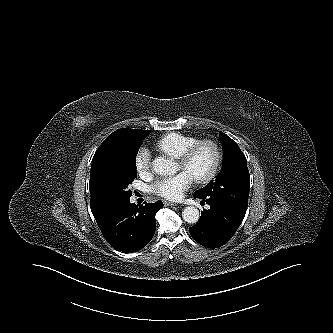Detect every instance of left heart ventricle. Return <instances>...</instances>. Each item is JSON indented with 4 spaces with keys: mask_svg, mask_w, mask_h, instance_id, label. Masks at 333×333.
<instances>
[{
    "mask_svg": "<svg viewBox=\"0 0 333 333\" xmlns=\"http://www.w3.org/2000/svg\"><path fill=\"white\" fill-rule=\"evenodd\" d=\"M213 162V153L208 147H202L187 165L178 163V170H183L192 178L202 177L210 170Z\"/></svg>",
    "mask_w": 333,
    "mask_h": 333,
    "instance_id": "1",
    "label": "left heart ventricle"
}]
</instances>
